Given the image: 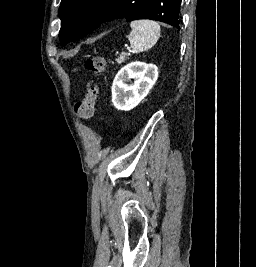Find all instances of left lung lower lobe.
Returning <instances> with one entry per match:
<instances>
[{
	"label": "left lung lower lobe",
	"mask_w": 256,
	"mask_h": 267,
	"mask_svg": "<svg viewBox=\"0 0 256 267\" xmlns=\"http://www.w3.org/2000/svg\"><path fill=\"white\" fill-rule=\"evenodd\" d=\"M182 0H175V4H176V27H180L181 21H180V4H181ZM180 30V29H179Z\"/></svg>",
	"instance_id": "left-lung-lower-lobe-1"
}]
</instances>
